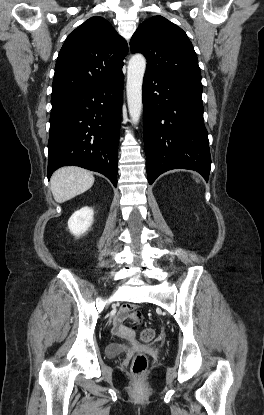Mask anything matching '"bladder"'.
Instances as JSON below:
<instances>
[{
  "label": "bladder",
  "mask_w": 264,
  "mask_h": 415,
  "mask_svg": "<svg viewBox=\"0 0 264 415\" xmlns=\"http://www.w3.org/2000/svg\"><path fill=\"white\" fill-rule=\"evenodd\" d=\"M129 346L125 344H109L106 347L105 353L109 358H116L120 354L127 351Z\"/></svg>",
  "instance_id": "obj_1"
}]
</instances>
